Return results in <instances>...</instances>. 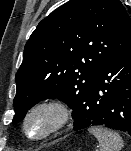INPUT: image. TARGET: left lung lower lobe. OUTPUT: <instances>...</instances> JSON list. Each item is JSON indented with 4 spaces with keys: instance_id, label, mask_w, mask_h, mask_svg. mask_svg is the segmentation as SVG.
<instances>
[{
    "instance_id": "1",
    "label": "left lung lower lobe",
    "mask_w": 131,
    "mask_h": 151,
    "mask_svg": "<svg viewBox=\"0 0 131 151\" xmlns=\"http://www.w3.org/2000/svg\"><path fill=\"white\" fill-rule=\"evenodd\" d=\"M94 125L131 135V46L112 57L101 69L73 130Z\"/></svg>"
}]
</instances>
